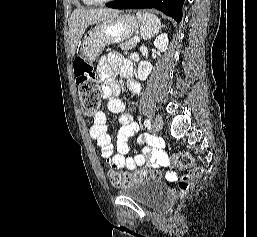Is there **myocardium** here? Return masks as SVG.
Returning a JSON list of instances; mask_svg holds the SVG:
<instances>
[{
	"mask_svg": "<svg viewBox=\"0 0 257 237\" xmlns=\"http://www.w3.org/2000/svg\"><path fill=\"white\" fill-rule=\"evenodd\" d=\"M94 4H105V3H109L112 2L114 0H91Z\"/></svg>",
	"mask_w": 257,
	"mask_h": 237,
	"instance_id": "1",
	"label": "myocardium"
}]
</instances>
